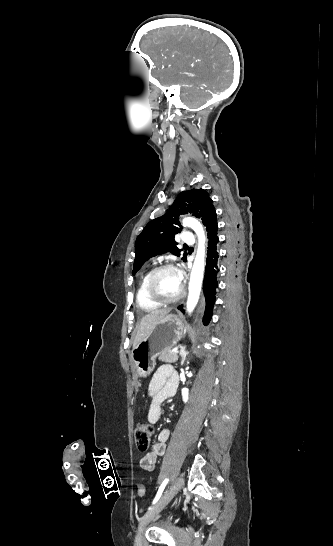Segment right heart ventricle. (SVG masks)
<instances>
[{"label":"right heart ventricle","instance_id":"right-heart-ventricle-1","mask_svg":"<svg viewBox=\"0 0 333 546\" xmlns=\"http://www.w3.org/2000/svg\"><path fill=\"white\" fill-rule=\"evenodd\" d=\"M150 273L151 271H148L143 275L136 293V301L138 307L146 312L154 311L161 306L160 304L152 301L147 295L146 282Z\"/></svg>","mask_w":333,"mask_h":546}]
</instances>
